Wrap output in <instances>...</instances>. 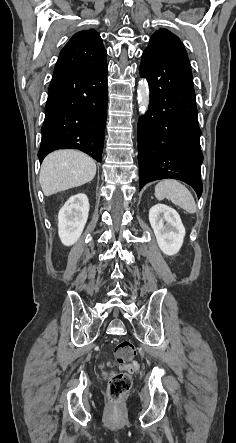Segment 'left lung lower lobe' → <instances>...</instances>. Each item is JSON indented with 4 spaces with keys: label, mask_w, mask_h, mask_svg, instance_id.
Segmentation results:
<instances>
[{
    "label": "left lung lower lobe",
    "mask_w": 236,
    "mask_h": 443,
    "mask_svg": "<svg viewBox=\"0 0 236 443\" xmlns=\"http://www.w3.org/2000/svg\"><path fill=\"white\" fill-rule=\"evenodd\" d=\"M139 72L150 88L148 112L138 122L140 189L154 180L174 178L200 197L203 154L189 59L145 50Z\"/></svg>",
    "instance_id": "1"
}]
</instances>
